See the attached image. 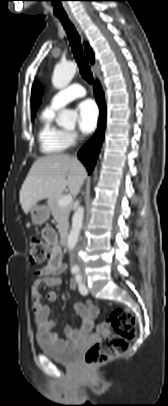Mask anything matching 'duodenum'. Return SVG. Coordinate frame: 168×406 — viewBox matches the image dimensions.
<instances>
[{
    "label": "duodenum",
    "instance_id": "obj_1",
    "mask_svg": "<svg viewBox=\"0 0 168 406\" xmlns=\"http://www.w3.org/2000/svg\"><path fill=\"white\" fill-rule=\"evenodd\" d=\"M60 245L62 246V247H67V245H68V233L67 232H64L62 235H61V238H60Z\"/></svg>",
    "mask_w": 168,
    "mask_h": 406
}]
</instances>
